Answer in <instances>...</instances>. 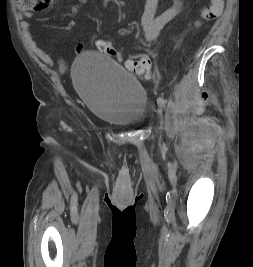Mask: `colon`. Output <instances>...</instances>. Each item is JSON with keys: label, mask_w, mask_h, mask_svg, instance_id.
Masks as SVG:
<instances>
[{"label": "colon", "mask_w": 253, "mask_h": 267, "mask_svg": "<svg viewBox=\"0 0 253 267\" xmlns=\"http://www.w3.org/2000/svg\"><path fill=\"white\" fill-rule=\"evenodd\" d=\"M20 9L26 11H41L48 8L53 0H16ZM223 0H210L209 5L202 11V18L212 21L220 16L223 10ZM97 49L108 55L120 58L112 43L106 40H99L96 43ZM125 67L136 74H147L151 68V59L146 54H137L125 61Z\"/></svg>", "instance_id": "colon-1"}]
</instances>
